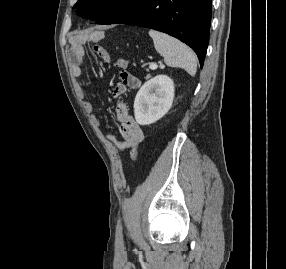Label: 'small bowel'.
Masks as SVG:
<instances>
[{
  "instance_id": "c3829d8e",
  "label": "small bowel",
  "mask_w": 286,
  "mask_h": 269,
  "mask_svg": "<svg viewBox=\"0 0 286 269\" xmlns=\"http://www.w3.org/2000/svg\"><path fill=\"white\" fill-rule=\"evenodd\" d=\"M70 49V60L72 63V75L75 78H79L83 74L85 59H84V49L82 42L78 39H73L71 42ZM102 51L97 52L94 51L99 56V58L105 63H111L112 58L110 53L101 47ZM118 62L116 63V66ZM136 78V77H135ZM121 80V79H120ZM125 88H115L114 94L118 95L124 91ZM88 109L91 111L93 105L91 102L87 104ZM116 118L119 123V128L121 135L123 137V141L118 143L121 148H129L130 149V157L133 162H137L139 159L138 147L144 139L143 130L140 125L136 123L130 113V107L127 103L121 102L117 104L116 107ZM92 122L95 126L99 125V120L96 116H92ZM110 140L116 143V137L114 135L109 136Z\"/></svg>"
}]
</instances>
